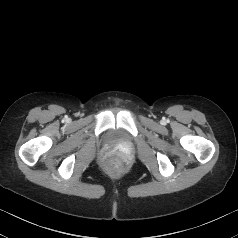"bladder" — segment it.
I'll return each instance as SVG.
<instances>
[{"instance_id": "31cf9c89", "label": "bladder", "mask_w": 238, "mask_h": 238, "mask_svg": "<svg viewBox=\"0 0 238 238\" xmlns=\"http://www.w3.org/2000/svg\"><path fill=\"white\" fill-rule=\"evenodd\" d=\"M106 140L110 143H120L122 142V138L117 130H111L106 134Z\"/></svg>"}]
</instances>
